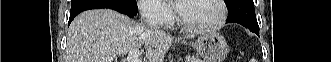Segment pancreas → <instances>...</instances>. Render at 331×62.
<instances>
[{"instance_id": "pancreas-1", "label": "pancreas", "mask_w": 331, "mask_h": 62, "mask_svg": "<svg viewBox=\"0 0 331 62\" xmlns=\"http://www.w3.org/2000/svg\"><path fill=\"white\" fill-rule=\"evenodd\" d=\"M186 60L187 62H202V60L195 56H187Z\"/></svg>"}]
</instances>
